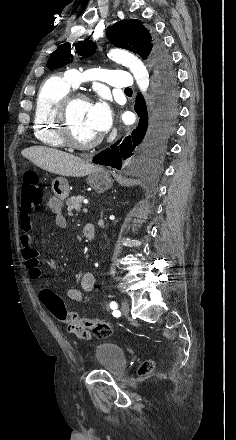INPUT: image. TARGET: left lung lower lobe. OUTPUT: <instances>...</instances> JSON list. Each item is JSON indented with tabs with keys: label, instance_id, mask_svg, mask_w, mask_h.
I'll list each match as a JSON object with an SVG mask.
<instances>
[{
	"label": "left lung lower lobe",
	"instance_id": "0a47b994",
	"mask_svg": "<svg viewBox=\"0 0 236 440\" xmlns=\"http://www.w3.org/2000/svg\"><path fill=\"white\" fill-rule=\"evenodd\" d=\"M155 93L150 110L138 94L134 109L139 123L131 135L123 137L109 149L98 153L93 162L121 169L123 161L142 151L157 149L171 136L178 115V92L171 63L156 61L153 64Z\"/></svg>",
	"mask_w": 236,
	"mask_h": 440
}]
</instances>
